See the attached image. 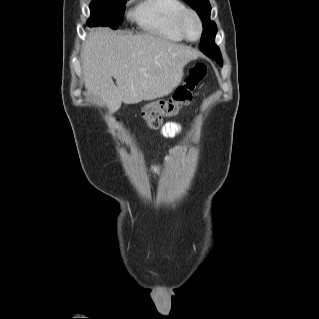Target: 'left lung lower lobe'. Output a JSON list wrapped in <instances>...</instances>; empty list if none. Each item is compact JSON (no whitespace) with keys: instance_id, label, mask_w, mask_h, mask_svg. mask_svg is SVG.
<instances>
[{"instance_id":"0a47b994","label":"left lung lower lobe","mask_w":319,"mask_h":319,"mask_svg":"<svg viewBox=\"0 0 319 319\" xmlns=\"http://www.w3.org/2000/svg\"><path fill=\"white\" fill-rule=\"evenodd\" d=\"M207 41H208V45L205 44V48H206V49H205V48H204V49H201V51H202L205 55H207L208 57L214 59V58H216V56L212 53V51H211V49H210V47H209V45L212 44V41H210V39H208Z\"/></svg>"}]
</instances>
